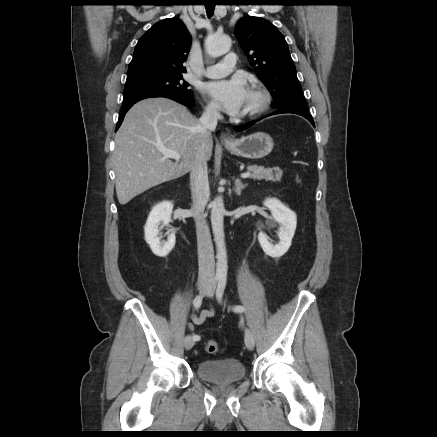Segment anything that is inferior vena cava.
I'll use <instances>...</instances> for the list:
<instances>
[{
    "instance_id": "1",
    "label": "inferior vena cava",
    "mask_w": 437,
    "mask_h": 437,
    "mask_svg": "<svg viewBox=\"0 0 437 437\" xmlns=\"http://www.w3.org/2000/svg\"><path fill=\"white\" fill-rule=\"evenodd\" d=\"M221 114L214 107H207L200 118L203 136L206 138L215 130ZM204 147V143H203ZM192 194V211L196 224L198 263V280L201 283H212L215 278V260L210 230L205 220L204 210L210 196L207 160L200 157L190 172Z\"/></svg>"
}]
</instances>
